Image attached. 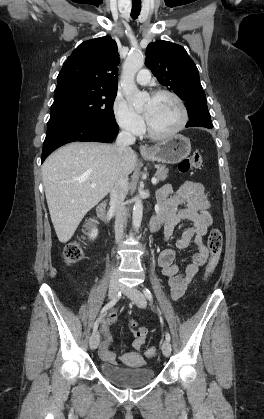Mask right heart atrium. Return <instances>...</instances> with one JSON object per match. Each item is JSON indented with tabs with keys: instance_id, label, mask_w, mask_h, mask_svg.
<instances>
[{
	"instance_id": "right-heart-atrium-1",
	"label": "right heart atrium",
	"mask_w": 264,
	"mask_h": 419,
	"mask_svg": "<svg viewBox=\"0 0 264 419\" xmlns=\"http://www.w3.org/2000/svg\"><path fill=\"white\" fill-rule=\"evenodd\" d=\"M112 112L116 123L123 131L138 135L143 130L142 117L130 107L120 93L113 100Z\"/></svg>"
}]
</instances>
